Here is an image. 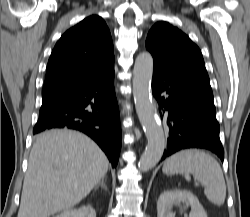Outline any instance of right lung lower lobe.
Masks as SVG:
<instances>
[{"label": "right lung lower lobe", "instance_id": "right-lung-lower-lobe-1", "mask_svg": "<svg viewBox=\"0 0 250 217\" xmlns=\"http://www.w3.org/2000/svg\"><path fill=\"white\" fill-rule=\"evenodd\" d=\"M52 128L74 129L87 134L116 167L121 149V125L114 68L87 85L43 99L33 134Z\"/></svg>", "mask_w": 250, "mask_h": 217}]
</instances>
